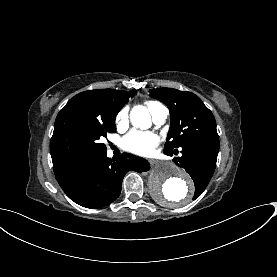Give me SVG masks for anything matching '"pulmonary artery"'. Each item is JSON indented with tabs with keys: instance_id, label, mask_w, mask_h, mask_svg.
Here are the masks:
<instances>
[{
	"instance_id": "1",
	"label": "pulmonary artery",
	"mask_w": 277,
	"mask_h": 277,
	"mask_svg": "<svg viewBox=\"0 0 277 277\" xmlns=\"http://www.w3.org/2000/svg\"><path fill=\"white\" fill-rule=\"evenodd\" d=\"M151 116L156 125H163L169 117V110L165 105L156 102L151 109Z\"/></svg>"
}]
</instances>
